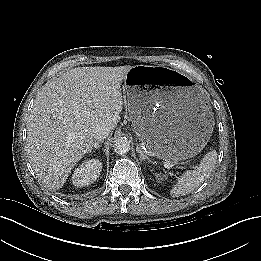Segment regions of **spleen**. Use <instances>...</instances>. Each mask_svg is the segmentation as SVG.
<instances>
[{"label": "spleen", "mask_w": 261, "mask_h": 261, "mask_svg": "<svg viewBox=\"0 0 261 261\" xmlns=\"http://www.w3.org/2000/svg\"><path fill=\"white\" fill-rule=\"evenodd\" d=\"M217 162V152H208L200 162V166L195 170L186 171L178 182L172 187L170 195L172 197L183 196L191 193L198 188L210 175Z\"/></svg>", "instance_id": "spleen-1"}]
</instances>
